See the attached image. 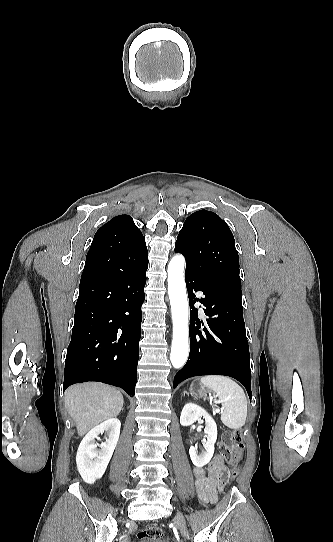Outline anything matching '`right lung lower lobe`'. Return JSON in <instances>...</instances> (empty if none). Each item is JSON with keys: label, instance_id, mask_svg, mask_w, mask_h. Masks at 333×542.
Returning a JSON list of instances; mask_svg holds the SVG:
<instances>
[{"label": "right lung lower lobe", "instance_id": "98d812e1", "mask_svg": "<svg viewBox=\"0 0 333 542\" xmlns=\"http://www.w3.org/2000/svg\"><path fill=\"white\" fill-rule=\"evenodd\" d=\"M147 267L145 243L88 252L65 360L64 390L99 381L135 395Z\"/></svg>", "mask_w": 333, "mask_h": 542}]
</instances>
